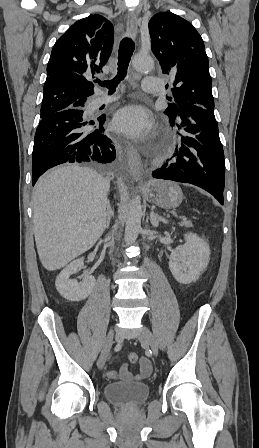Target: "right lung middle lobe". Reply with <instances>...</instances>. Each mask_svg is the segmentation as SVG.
Returning <instances> with one entry per match:
<instances>
[{"instance_id": "1", "label": "right lung middle lobe", "mask_w": 259, "mask_h": 448, "mask_svg": "<svg viewBox=\"0 0 259 448\" xmlns=\"http://www.w3.org/2000/svg\"><path fill=\"white\" fill-rule=\"evenodd\" d=\"M83 108H84V105H77V106L69 107V108H67L65 110H62V111H68L70 113H77V112H79V110H82ZM47 116L48 115H41L40 117L44 118V117H47Z\"/></svg>"}]
</instances>
